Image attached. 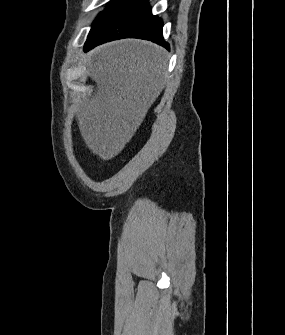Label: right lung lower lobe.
Here are the masks:
<instances>
[{"mask_svg": "<svg viewBox=\"0 0 285 335\" xmlns=\"http://www.w3.org/2000/svg\"><path fill=\"white\" fill-rule=\"evenodd\" d=\"M162 27V20L152 15L148 0H123L107 17L91 29L84 51L122 38L151 40L169 49L162 35Z\"/></svg>", "mask_w": 285, "mask_h": 335, "instance_id": "1", "label": "right lung lower lobe"}]
</instances>
